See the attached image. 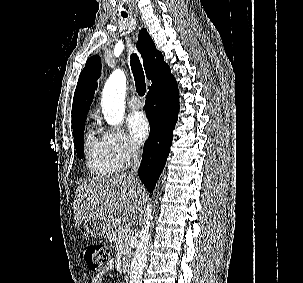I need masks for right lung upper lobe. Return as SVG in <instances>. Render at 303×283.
Masks as SVG:
<instances>
[{"mask_svg": "<svg viewBox=\"0 0 303 283\" xmlns=\"http://www.w3.org/2000/svg\"><path fill=\"white\" fill-rule=\"evenodd\" d=\"M137 48L143 59L146 76L152 81L150 89L156 88L174 77L163 55L155 47V44L146 29H141ZM101 59L98 55L89 58L82 70L74 94L72 105V127L85 122L86 115L94 97V81L100 76Z\"/></svg>", "mask_w": 303, "mask_h": 283, "instance_id": "cb5924a9", "label": "right lung upper lobe"}]
</instances>
